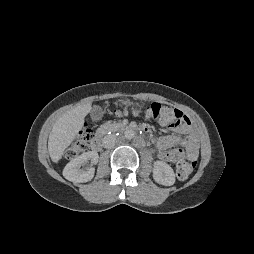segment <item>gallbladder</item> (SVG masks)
I'll list each match as a JSON object with an SVG mask.
<instances>
[{
	"label": "gallbladder",
	"instance_id": "gallbladder-1",
	"mask_svg": "<svg viewBox=\"0 0 254 254\" xmlns=\"http://www.w3.org/2000/svg\"><path fill=\"white\" fill-rule=\"evenodd\" d=\"M104 111L100 106H94L91 113L90 117L94 121H98L103 117Z\"/></svg>",
	"mask_w": 254,
	"mask_h": 254
}]
</instances>
